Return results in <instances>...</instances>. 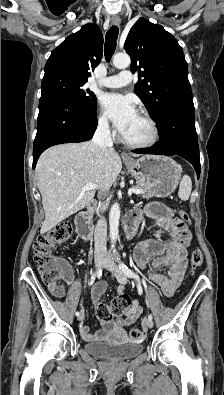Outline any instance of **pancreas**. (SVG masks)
Masks as SVG:
<instances>
[{
    "mask_svg": "<svg viewBox=\"0 0 224 395\" xmlns=\"http://www.w3.org/2000/svg\"><path fill=\"white\" fill-rule=\"evenodd\" d=\"M133 188L142 190L143 193H141L140 195L143 198L150 199L151 197H153V195L143 187L136 185V186H133ZM108 204H109V201L108 200L105 201L104 204L102 205V207L99 209V211H104L107 208Z\"/></svg>",
    "mask_w": 224,
    "mask_h": 395,
    "instance_id": "1",
    "label": "pancreas"
}]
</instances>
